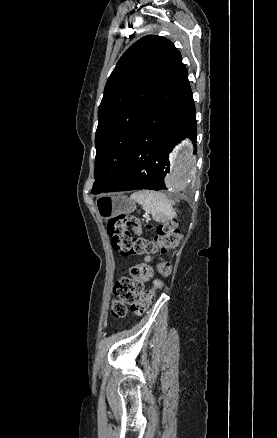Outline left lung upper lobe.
Masks as SVG:
<instances>
[{
	"mask_svg": "<svg viewBox=\"0 0 277 438\" xmlns=\"http://www.w3.org/2000/svg\"><path fill=\"white\" fill-rule=\"evenodd\" d=\"M149 98L195 114L181 55L169 40L156 35L145 36L130 46L106 83L98 109L93 194L103 192L121 174L140 112Z\"/></svg>",
	"mask_w": 277,
	"mask_h": 438,
	"instance_id": "obj_1",
	"label": "left lung upper lobe"
}]
</instances>
